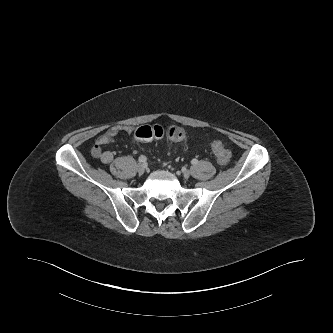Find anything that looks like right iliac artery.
<instances>
[{
	"mask_svg": "<svg viewBox=\"0 0 333 333\" xmlns=\"http://www.w3.org/2000/svg\"><path fill=\"white\" fill-rule=\"evenodd\" d=\"M138 161H139L140 163H145V162L147 161V158H146L145 156H140V157L138 158Z\"/></svg>",
	"mask_w": 333,
	"mask_h": 333,
	"instance_id": "82829eb1",
	"label": "right iliac artery"
}]
</instances>
